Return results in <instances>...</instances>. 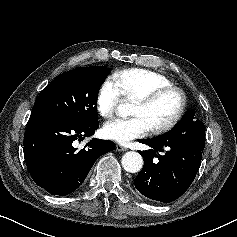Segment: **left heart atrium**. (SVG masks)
Listing matches in <instances>:
<instances>
[{
    "instance_id": "1",
    "label": "left heart atrium",
    "mask_w": 237,
    "mask_h": 237,
    "mask_svg": "<svg viewBox=\"0 0 237 237\" xmlns=\"http://www.w3.org/2000/svg\"><path fill=\"white\" fill-rule=\"evenodd\" d=\"M149 130L147 123L140 116L117 118L103 127L105 137L120 144H126L135 138L145 136Z\"/></svg>"
}]
</instances>
